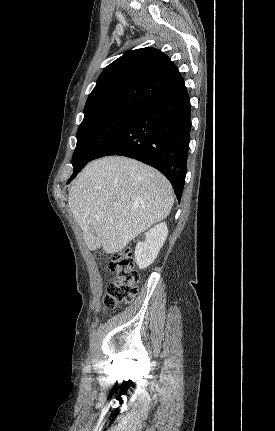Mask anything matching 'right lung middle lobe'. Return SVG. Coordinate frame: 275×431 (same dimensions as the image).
<instances>
[{"label":"right lung middle lobe","instance_id":"right-lung-middle-lobe-1","mask_svg":"<svg viewBox=\"0 0 275 431\" xmlns=\"http://www.w3.org/2000/svg\"><path fill=\"white\" fill-rule=\"evenodd\" d=\"M136 111L137 109L131 108H114L85 116L77 131V146L72 159L73 174L80 172Z\"/></svg>","mask_w":275,"mask_h":431}]
</instances>
